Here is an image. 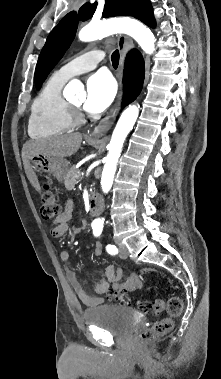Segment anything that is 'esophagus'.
Instances as JSON below:
<instances>
[{
  "instance_id": "1",
  "label": "esophagus",
  "mask_w": 221,
  "mask_h": 379,
  "mask_svg": "<svg viewBox=\"0 0 221 379\" xmlns=\"http://www.w3.org/2000/svg\"><path fill=\"white\" fill-rule=\"evenodd\" d=\"M133 45V41L130 37L125 35H119L117 39V46L120 52V73L122 72L123 62L127 49ZM122 88L120 89L117 98L110 112L99 122L91 133L92 136H102L108 132V130L114 124L116 116L121 107Z\"/></svg>"
}]
</instances>
